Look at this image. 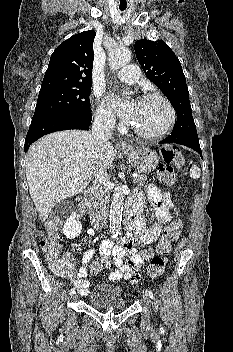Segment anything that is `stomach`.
Returning a JSON list of instances; mask_svg holds the SVG:
<instances>
[{"label":"stomach","mask_w":233,"mask_h":352,"mask_svg":"<svg viewBox=\"0 0 233 352\" xmlns=\"http://www.w3.org/2000/svg\"><path fill=\"white\" fill-rule=\"evenodd\" d=\"M122 153L138 171L144 173L154 170L159 162L157 153L144 147H132Z\"/></svg>","instance_id":"1"}]
</instances>
